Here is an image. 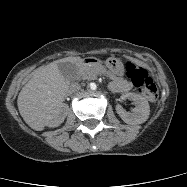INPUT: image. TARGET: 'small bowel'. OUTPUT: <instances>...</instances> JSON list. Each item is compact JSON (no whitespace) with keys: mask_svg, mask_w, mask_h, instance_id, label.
I'll return each mask as SVG.
<instances>
[{"mask_svg":"<svg viewBox=\"0 0 187 187\" xmlns=\"http://www.w3.org/2000/svg\"><path fill=\"white\" fill-rule=\"evenodd\" d=\"M111 88L117 92H125L132 88V84L129 81L119 79L112 82Z\"/></svg>","mask_w":187,"mask_h":187,"instance_id":"1","label":"small bowel"}]
</instances>
